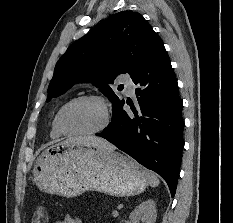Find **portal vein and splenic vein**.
<instances>
[{
    "label": "portal vein and splenic vein",
    "mask_w": 233,
    "mask_h": 223,
    "mask_svg": "<svg viewBox=\"0 0 233 223\" xmlns=\"http://www.w3.org/2000/svg\"><path fill=\"white\" fill-rule=\"evenodd\" d=\"M112 213H113V217H117V215H118L117 209H114V211H112Z\"/></svg>",
    "instance_id": "18ae733b"
}]
</instances>
